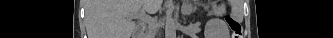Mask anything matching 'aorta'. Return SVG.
Instances as JSON below:
<instances>
[{
	"label": "aorta",
	"mask_w": 333,
	"mask_h": 38,
	"mask_svg": "<svg viewBox=\"0 0 333 38\" xmlns=\"http://www.w3.org/2000/svg\"><path fill=\"white\" fill-rule=\"evenodd\" d=\"M172 6L173 4L170 0L166 2V7L168 10L165 20V38H176V27L171 11Z\"/></svg>",
	"instance_id": "1"
}]
</instances>
